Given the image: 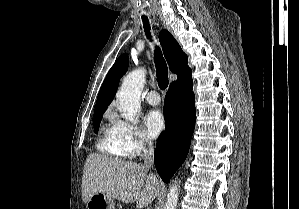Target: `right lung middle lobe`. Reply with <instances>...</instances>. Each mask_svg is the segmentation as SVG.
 Listing matches in <instances>:
<instances>
[{
	"instance_id": "right-lung-middle-lobe-1",
	"label": "right lung middle lobe",
	"mask_w": 299,
	"mask_h": 209,
	"mask_svg": "<svg viewBox=\"0 0 299 209\" xmlns=\"http://www.w3.org/2000/svg\"><path fill=\"white\" fill-rule=\"evenodd\" d=\"M102 113H94V131H98L102 119Z\"/></svg>"
}]
</instances>
